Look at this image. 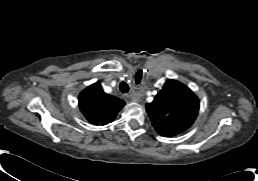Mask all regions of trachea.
Returning <instances> with one entry per match:
<instances>
[{"label": "trachea", "instance_id": "3493384b", "mask_svg": "<svg viewBox=\"0 0 258 181\" xmlns=\"http://www.w3.org/2000/svg\"><path fill=\"white\" fill-rule=\"evenodd\" d=\"M120 91H121L122 93H127V92L129 91V86H128V84L125 83V82H121V83H120Z\"/></svg>", "mask_w": 258, "mask_h": 181}]
</instances>
